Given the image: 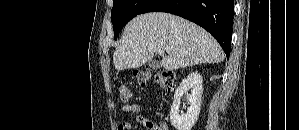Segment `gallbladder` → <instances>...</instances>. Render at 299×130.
I'll list each match as a JSON object with an SVG mask.
<instances>
[{"mask_svg": "<svg viewBox=\"0 0 299 130\" xmlns=\"http://www.w3.org/2000/svg\"><path fill=\"white\" fill-rule=\"evenodd\" d=\"M148 66H149L151 69H154V70H157V69L161 68V64H160L158 61H156V60L150 61V62L148 63Z\"/></svg>", "mask_w": 299, "mask_h": 130, "instance_id": "obj_1", "label": "gallbladder"}]
</instances>
